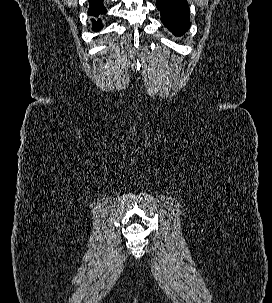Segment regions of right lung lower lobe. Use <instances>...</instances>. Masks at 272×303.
Here are the masks:
<instances>
[{
    "label": "right lung lower lobe",
    "instance_id": "obj_1",
    "mask_svg": "<svg viewBox=\"0 0 272 303\" xmlns=\"http://www.w3.org/2000/svg\"><path fill=\"white\" fill-rule=\"evenodd\" d=\"M103 0H89L90 3V8L88 10V14L90 16L98 17L100 14H105L106 13V8L102 4ZM93 22V30L94 31H99L102 28L101 20H94L92 19Z\"/></svg>",
    "mask_w": 272,
    "mask_h": 303
}]
</instances>
